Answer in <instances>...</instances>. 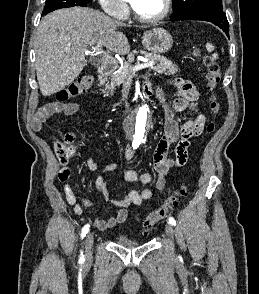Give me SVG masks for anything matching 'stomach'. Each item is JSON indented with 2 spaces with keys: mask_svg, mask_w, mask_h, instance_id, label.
Returning <instances> with one entry per match:
<instances>
[{
  "mask_svg": "<svg viewBox=\"0 0 259 294\" xmlns=\"http://www.w3.org/2000/svg\"><path fill=\"white\" fill-rule=\"evenodd\" d=\"M142 45L152 54L159 55L171 49L173 39L165 29L153 28L143 34Z\"/></svg>",
  "mask_w": 259,
  "mask_h": 294,
  "instance_id": "1",
  "label": "stomach"
}]
</instances>
